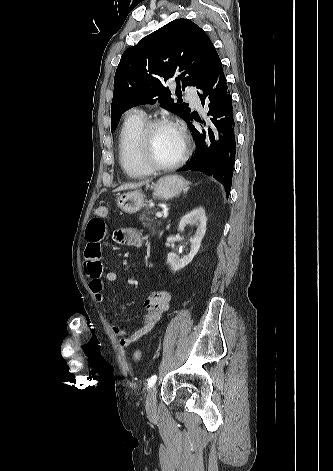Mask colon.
Instances as JSON below:
<instances>
[{
	"label": "colon",
	"mask_w": 333,
	"mask_h": 471,
	"mask_svg": "<svg viewBox=\"0 0 333 471\" xmlns=\"http://www.w3.org/2000/svg\"><path fill=\"white\" fill-rule=\"evenodd\" d=\"M107 214H108V208L105 206H99L95 210V215L97 216L106 217ZM133 357L135 360H140L142 358V351L140 349L135 350Z\"/></svg>",
	"instance_id": "5ec220e1"
}]
</instances>
